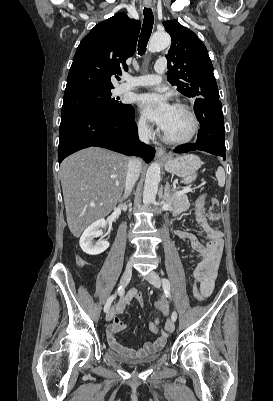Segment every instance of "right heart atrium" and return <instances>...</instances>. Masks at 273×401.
Masks as SVG:
<instances>
[{
	"mask_svg": "<svg viewBox=\"0 0 273 401\" xmlns=\"http://www.w3.org/2000/svg\"><path fill=\"white\" fill-rule=\"evenodd\" d=\"M138 132L144 137H150L153 135V127L144 118H139L136 123Z\"/></svg>",
	"mask_w": 273,
	"mask_h": 401,
	"instance_id": "1",
	"label": "right heart atrium"
}]
</instances>
